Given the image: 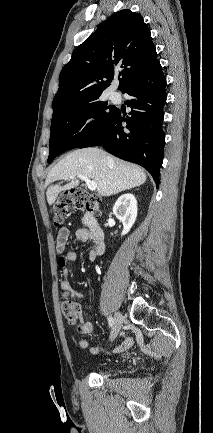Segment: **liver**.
Listing matches in <instances>:
<instances>
[{"label":"liver","mask_w":213,"mask_h":433,"mask_svg":"<svg viewBox=\"0 0 213 433\" xmlns=\"http://www.w3.org/2000/svg\"><path fill=\"white\" fill-rule=\"evenodd\" d=\"M81 174L97 184L101 196H110L145 183L147 177L139 166L112 157L98 148L75 150L60 160L48 173L45 185L47 202L52 205L60 192L75 188ZM73 175V178L70 176ZM57 180H69L64 186L51 185Z\"/></svg>","instance_id":"obj_1"}]
</instances>
